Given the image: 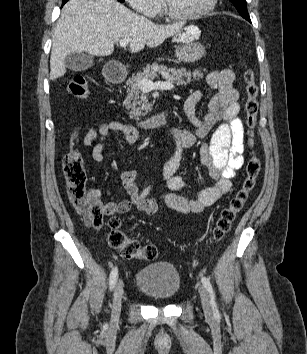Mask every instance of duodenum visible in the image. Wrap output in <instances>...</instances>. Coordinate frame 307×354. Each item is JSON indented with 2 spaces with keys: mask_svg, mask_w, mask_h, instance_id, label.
I'll use <instances>...</instances> for the list:
<instances>
[{
  "mask_svg": "<svg viewBox=\"0 0 307 354\" xmlns=\"http://www.w3.org/2000/svg\"><path fill=\"white\" fill-rule=\"evenodd\" d=\"M106 76L107 79L112 83H121L125 79L123 70L115 66L109 67L107 69ZM167 118V113L160 112L149 118L141 120L137 123V126L144 130H152L165 125L167 123Z\"/></svg>",
  "mask_w": 307,
  "mask_h": 354,
  "instance_id": "410a0bca",
  "label": "duodenum"
}]
</instances>
